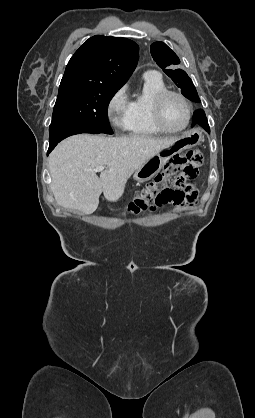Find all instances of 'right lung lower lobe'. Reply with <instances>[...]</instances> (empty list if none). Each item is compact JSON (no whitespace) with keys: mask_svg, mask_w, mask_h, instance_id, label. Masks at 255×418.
Listing matches in <instances>:
<instances>
[{"mask_svg":"<svg viewBox=\"0 0 255 418\" xmlns=\"http://www.w3.org/2000/svg\"><path fill=\"white\" fill-rule=\"evenodd\" d=\"M80 133L99 134L101 132L94 130V129H90V128H84V127H69V128L56 129L50 132L49 149H48L47 155L54 149V147L61 140L71 135L80 134Z\"/></svg>","mask_w":255,"mask_h":418,"instance_id":"1","label":"right lung lower lobe"}]
</instances>
